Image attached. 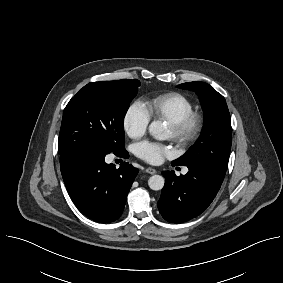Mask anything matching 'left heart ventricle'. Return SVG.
<instances>
[{"label": "left heart ventricle", "instance_id": "1", "mask_svg": "<svg viewBox=\"0 0 283 283\" xmlns=\"http://www.w3.org/2000/svg\"><path fill=\"white\" fill-rule=\"evenodd\" d=\"M169 135H171V130L169 129Z\"/></svg>", "mask_w": 283, "mask_h": 283}]
</instances>
